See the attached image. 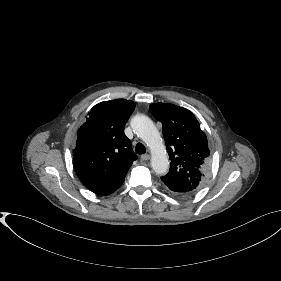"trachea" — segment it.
Wrapping results in <instances>:
<instances>
[{"label":"trachea","instance_id":"1","mask_svg":"<svg viewBox=\"0 0 281 281\" xmlns=\"http://www.w3.org/2000/svg\"><path fill=\"white\" fill-rule=\"evenodd\" d=\"M135 152L137 154H144L146 152L145 146L142 143H138L135 147Z\"/></svg>","mask_w":281,"mask_h":281}]
</instances>
